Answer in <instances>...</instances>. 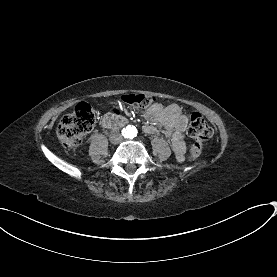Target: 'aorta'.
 I'll return each instance as SVG.
<instances>
[{"instance_id": "aorta-1", "label": "aorta", "mask_w": 277, "mask_h": 277, "mask_svg": "<svg viewBox=\"0 0 277 277\" xmlns=\"http://www.w3.org/2000/svg\"><path fill=\"white\" fill-rule=\"evenodd\" d=\"M125 134L127 137L131 138L134 137L137 134V129L135 126H127L125 130Z\"/></svg>"}]
</instances>
